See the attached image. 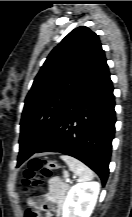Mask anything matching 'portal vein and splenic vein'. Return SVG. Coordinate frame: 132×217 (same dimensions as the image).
<instances>
[{
  "label": "portal vein and splenic vein",
  "mask_w": 132,
  "mask_h": 217,
  "mask_svg": "<svg viewBox=\"0 0 132 217\" xmlns=\"http://www.w3.org/2000/svg\"><path fill=\"white\" fill-rule=\"evenodd\" d=\"M64 176H65L66 182H70L69 175H68V174H65Z\"/></svg>",
  "instance_id": "obj_1"
}]
</instances>
